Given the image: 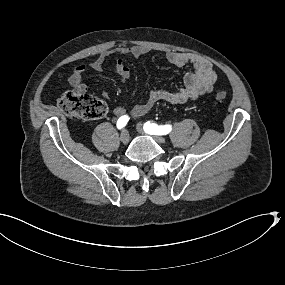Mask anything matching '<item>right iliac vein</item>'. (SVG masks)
Here are the masks:
<instances>
[{"label":"right iliac vein","instance_id":"63e3f726","mask_svg":"<svg viewBox=\"0 0 285 285\" xmlns=\"http://www.w3.org/2000/svg\"><path fill=\"white\" fill-rule=\"evenodd\" d=\"M120 140L123 144H128V142L130 140V135H129V132L127 130H123V132L120 135Z\"/></svg>","mask_w":285,"mask_h":285}]
</instances>
